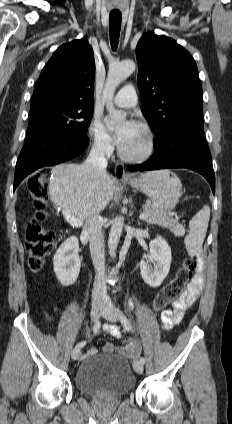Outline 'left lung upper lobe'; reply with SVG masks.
I'll use <instances>...</instances> for the list:
<instances>
[{
	"label": "left lung upper lobe",
	"mask_w": 232,
	"mask_h": 424,
	"mask_svg": "<svg viewBox=\"0 0 232 424\" xmlns=\"http://www.w3.org/2000/svg\"><path fill=\"white\" fill-rule=\"evenodd\" d=\"M141 110L157 140L178 125L202 120V87L191 54L173 39L144 34L136 48Z\"/></svg>",
	"instance_id": "left-lung-upper-lobe-1"
}]
</instances>
